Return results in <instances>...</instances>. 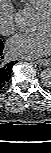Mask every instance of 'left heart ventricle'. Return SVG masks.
<instances>
[{"label":"left heart ventricle","instance_id":"b2bd125f","mask_svg":"<svg viewBox=\"0 0 51 153\" xmlns=\"http://www.w3.org/2000/svg\"><path fill=\"white\" fill-rule=\"evenodd\" d=\"M36 28L38 30H48L49 32L51 31V18L39 15Z\"/></svg>","mask_w":51,"mask_h":153}]
</instances>
